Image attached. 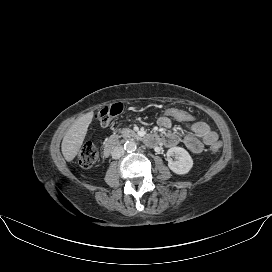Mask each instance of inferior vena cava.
<instances>
[{
  "label": "inferior vena cava",
  "mask_w": 272,
  "mask_h": 272,
  "mask_svg": "<svg viewBox=\"0 0 272 272\" xmlns=\"http://www.w3.org/2000/svg\"><path fill=\"white\" fill-rule=\"evenodd\" d=\"M124 154V148L120 145H117L114 147V149L112 150V158L113 159H119L120 157H122Z\"/></svg>",
  "instance_id": "inferior-vena-cava-1"
}]
</instances>
